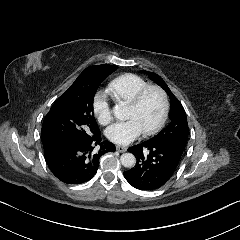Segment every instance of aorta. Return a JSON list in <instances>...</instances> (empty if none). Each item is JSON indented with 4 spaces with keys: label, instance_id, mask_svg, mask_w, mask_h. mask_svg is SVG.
Segmentation results:
<instances>
[{
    "label": "aorta",
    "instance_id": "obj_1",
    "mask_svg": "<svg viewBox=\"0 0 240 240\" xmlns=\"http://www.w3.org/2000/svg\"><path fill=\"white\" fill-rule=\"evenodd\" d=\"M114 116L119 119L120 108L116 107L113 110ZM121 164L124 167L132 168L135 166L136 158L132 153H124L120 157Z\"/></svg>",
    "mask_w": 240,
    "mask_h": 240
}]
</instances>
